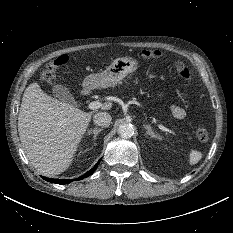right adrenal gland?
<instances>
[{"label":"right adrenal gland","instance_id":"obj_1","mask_svg":"<svg viewBox=\"0 0 233 233\" xmlns=\"http://www.w3.org/2000/svg\"><path fill=\"white\" fill-rule=\"evenodd\" d=\"M103 129L102 128H94L88 131V135L93 134L94 140H96V137L98 133H100Z\"/></svg>","mask_w":233,"mask_h":233}]
</instances>
